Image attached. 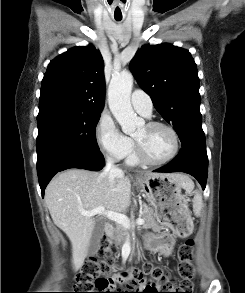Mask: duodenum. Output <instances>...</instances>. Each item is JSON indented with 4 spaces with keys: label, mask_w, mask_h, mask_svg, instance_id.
<instances>
[{
    "label": "duodenum",
    "mask_w": 245,
    "mask_h": 293,
    "mask_svg": "<svg viewBox=\"0 0 245 293\" xmlns=\"http://www.w3.org/2000/svg\"><path fill=\"white\" fill-rule=\"evenodd\" d=\"M105 234L111 236L113 234V226L111 224L105 225Z\"/></svg>",
    "instance_id": "duodenum-1"
}]
</instances>
